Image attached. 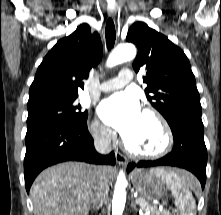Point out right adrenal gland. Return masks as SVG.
<instances>
[{"instance_id": "obj_1", "label": "right adrenal gland", "mask_w": 221, "mask_h": 215, "mask_svg": "<svg viewBox=\"0 0 221 215\" xmlns=\"http://www.w3.org/2000/svg\"><path fill=\"white\" fill-rule=\"evenodd\" d=\"M94 210H97L98 208H93Z\"/></svg>"}]
</instances>
